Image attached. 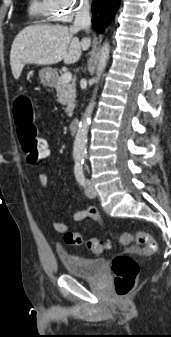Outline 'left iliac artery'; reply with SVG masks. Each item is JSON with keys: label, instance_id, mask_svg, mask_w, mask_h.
Segmentation results:
<instances>
[{"label": "left iliac artery", "instance_id": "obj_1", "mask_svg": "<svg viewBox=\"0 0 171 337\" xmlns=\"http://www.w3.org/2000/svg\"><path fill=\"white\" fill-rule=\"evenodd\" d=\"M83 164H84V158L82 156L77 157L75 161L74 173L80 185L85 184V178L83 174Z\"/></svg>", "mask_w": 171, "mask_h": 337}]
</instances>
